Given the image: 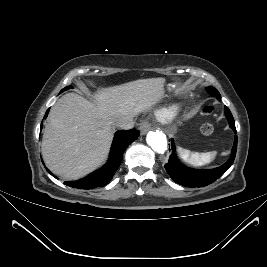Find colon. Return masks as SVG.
I'll use <instances>...</instances> for the list:
<instances>
[{"label":"colon","instance_id":"obj_1","mask_svg":"<svg viewBox=\"0 0 267 267\" xmlns=\"http://www.w3.org/2000/svg\"><path fill=\"white\" fill-rule=\"evenodd\" d=\"M205 111L206 112H210L212 111V107H206L205 108ZM214 131V127L211 123H204L202 126H201V132L204 134V135H210L212 134Z\"/></svg>","mask_w":267,"mask_h":267}]
</instances>
